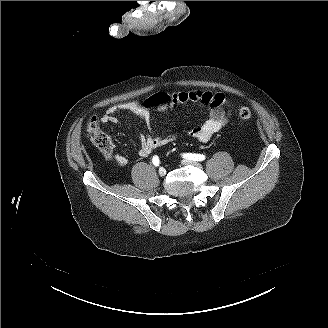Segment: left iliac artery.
I'll return each instance as SVG.
<instances>
[{
	"mask_svg": "<svg viewBox=\"0 0 328 328\" xmlns=\"http://www.w3.org/2000/svg\"><path fill=\"white\" fill-rule=\"evenodd\" d=\"M184 158L193 160V161H203L205 160V156L202 154H192V153H187L183 155Z\"/></svg>",
	"mask_w": 328,
	"mask_h": 328,
	"instance_id": "obj_1",
	"label": "left iliac artery"
}]
</instances>
